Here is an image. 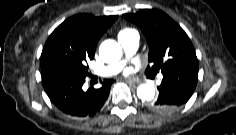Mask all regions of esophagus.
<instances>
[{"label": "esophagus", "instance_id": "1", "mask_svg": "<svg viewBox=\"0 0 236 135\" xmlns=\"http://www.w3.org/2000/svg\"><path fill=\"white\" fill-rule=\"evenodd\" d=\"M129 85L136 87L139 85V82L133 81V80H127L126 81Z\"/></svg>", "mask_w": 236, "mask_h": 135}]
</instances>
